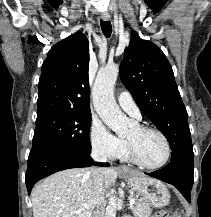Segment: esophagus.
<instances>
[{
    "label": "esophagus",
    "mask_w": 211,
    "mask_h": 217,
    "mask_svg": "<svg viewBox=\"0 0 211 217\" xmlns=\"http://www.w3.org/2000/svg\"><path fill=\"white\" fill-rule=\"evenodd\" d=\"M101 17L104 21H109L111 18L110 15H108V14H103ZM118 169L120 171H128L129 170L128 167L125 165L119 166Z\"/></svg>",
    "instance_id": "esophagus-1"
}]
</instances>
